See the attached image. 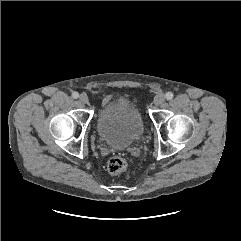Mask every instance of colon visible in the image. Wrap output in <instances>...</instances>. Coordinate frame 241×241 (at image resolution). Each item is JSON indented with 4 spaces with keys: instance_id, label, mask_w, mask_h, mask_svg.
<instances>
[{
    "instance_id": "colon-1",
    "label": "colon",
    "mask_w": 241,
    "mask_h": 241,
    "mask_svg": "<svg viewBox=\"0 0 241 241\" xmlns=\"http://www.w3.org/2000/svg\"><path fill=\"white\" fill-rule=\"evenodd\" d=\"M127 168V161L122 156H114L109 159L107 169L111 174H120Z\"/></svg>"
}]
</instances>
